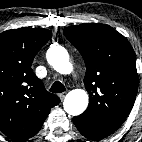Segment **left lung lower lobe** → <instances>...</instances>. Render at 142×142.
<instances>
[{"instance_id": "left-lung-lower-lobe-1", "label": "left lung lower lobe", "mask_w": 142, "mask_h": 142, "mask_svg": "<svg viewBox=\"0 0 142 142\" xmlns=\"http://www.w3.org/2000/svg\"><path fill=\"white\" fill-rule=\"evenodd\" d=\"M73 122L75 124V126L77 127V129L79 130V132L85 136L86 138L90 139V140H94V141H98L103 139L104 137H101L100 135L96 134L95 132L91 131L90 129H88L82 122L76 120L73 118Z\"/></svg>"}]
</instances>
